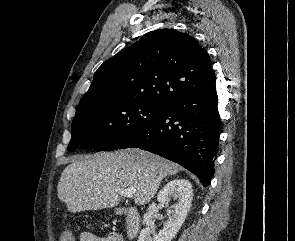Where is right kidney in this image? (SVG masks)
<instances>
[{"label":"right kidney","instance_id":"obj_1","mask_svg":"<svg viewBox=\"0 0 295 241\" xmlns=\"http://www.w3.org/2000/svg\"><path fill=\"white\" fill-rule=\"evenodd\" d=\"M193 198L191 183L186 179H174L168 182L157 195V202L152 203L143 217L146 225L140 232L138 241H171L180 230L190 210ZM173 199L177 201L173 210L169 211V219L158 234L155 233L153 216L158 210ZM152 235V236H151Z\"/></svg>","mask_w":295,"mask_h":241}]
</instances>
